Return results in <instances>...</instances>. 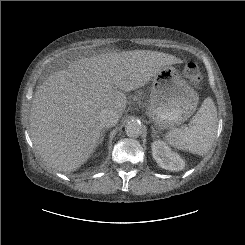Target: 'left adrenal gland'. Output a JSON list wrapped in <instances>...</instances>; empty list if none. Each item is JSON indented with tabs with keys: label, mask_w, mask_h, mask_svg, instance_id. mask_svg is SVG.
I'll use <instances>...</instances> for the list:
<instances>
[{
	"label": "left adrenal gland",
	"mask_w": 245,
	"mask_h": 245,
	"mask_svg": "<svg viewBox=\"0 0 245 245\" xmlns=\"http://www.w3.org/2000/svg\"><path fill=\"white\" fill-rule=\"evenodd\" d=\"M152 137H153L154 139L158 137V136H157V132H156V130L154 129V127H152Z\"/></svg>",
	"instance_id": "left-adrenal-gland-1"
}]
</instances>
